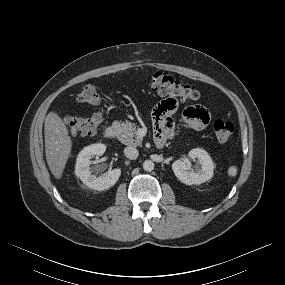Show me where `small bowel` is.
I'll return each instance as SVG.
<instances>
[{
	"mask_svg": "<svg viewBox=\"0 0 285 285\" xmlns=\"http://www.w3.org/2000/svg\"><path fill=\"white\" fill-rule=\"evenodd\" d=\"M180 111L179 100L171 95L164 96L152 112V122L156 137H170L174 132L175 123L172 117ZM183 119L193 130H202L210 122V114L201 105L187 107L183 111Z\"/></svg>",
	"mask_w": 285,
	"mask_h": 285,
	"instance_id": "small-bowel-1",
	"label": "small bowel"
}]
</instances>
